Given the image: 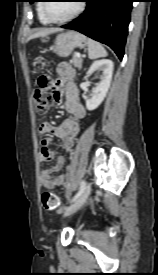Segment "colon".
<instances>
[{"label":"colon","instance_id":"obj_1","mask_svg":"<svg viewBox=\"0 0 158 275\" xmlns=\"http://www.w3.org/2000/svg\"><path fill=\"white\" fill-rule=\"evenodd\" d=\"M49 79L41 77L38 79L37 88L34 91L35 109L38 114H45L50 109L55 94L49 90ZM42 205L46 210H56L60 207V198L52 193L45 191L41 196Z\"/></svg>","mask_w":158,"mask_h":275}]
</instances>
